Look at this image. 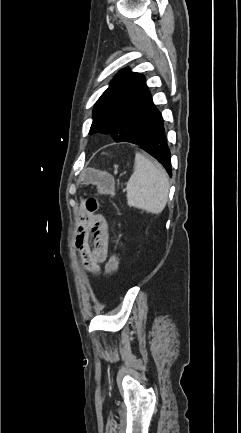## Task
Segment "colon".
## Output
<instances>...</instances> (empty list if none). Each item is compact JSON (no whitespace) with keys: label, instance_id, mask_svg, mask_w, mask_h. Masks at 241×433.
Segmentation results:
<instances>
[{"label":"colon","instance_id":"obj_1","mask_svg":"<svg viewBox=\"0 0 241 433\" xmlns=\"http://www.w3.org/2000/svg\"><path fill=\"white\" fill-rule=\"evenodd\" d=\"M84 177L83 182L86 184H91L94 182L100 194H109L113 188V178L107 171L104 170H94L92 168H85L83 171ZM89 209L91 211L98 210L99 202L96 198H92L89 201ZM118 257L116 254H112L105 264V271L108 276H112L116 273L118 269Z\"/></svg>","mask_w":241,"mask_h":433}]
</instances>
